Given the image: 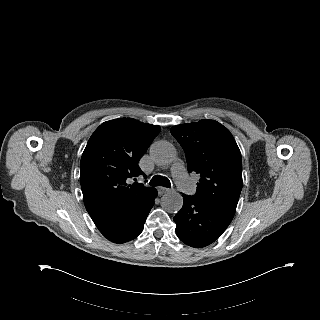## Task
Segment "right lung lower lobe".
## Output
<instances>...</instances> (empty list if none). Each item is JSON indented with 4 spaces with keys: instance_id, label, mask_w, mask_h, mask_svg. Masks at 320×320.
<instances>
[{
    "instance_id": "1",
    "label": "right lung lower lobe",
    "mask_w": 320,
    "mask_h": 320,
    "mask_svg": "<svg viewBox=\"0 0 320 320\" xmlns=\"http://www.w3.org/2000/svg\"><path fill=\"white\" fill-rule=\"evenodd\" d=\"M156 196L157 190L154 189L142 203L135 207L94 223L111 242L120 244L133 240L142 232Z\"/></svg>"
}]
</instances>
